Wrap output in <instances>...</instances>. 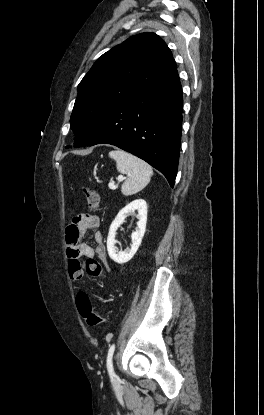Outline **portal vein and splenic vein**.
<instances>
[{"label":"portal vein and splenic vein","instance_id":"obj_1","mask_svg":"<svg viewBox=\"0 0 264 415\" xmlns=\"http://www.w3.org/2000/svg\"><path fill=\"white\" fill-rule=\"evenodd\" d=\"M124 179V177H120L119 179H118V181H122ZM108 187L110 188V189H116L117 188V185H115L113 182H110L109 184H108Z\"/></svg>","mask_w":264,"mask_h":415}]
</instances>
